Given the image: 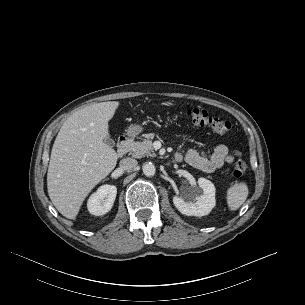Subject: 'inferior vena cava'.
Here are the masks:
<instances>
[{
	"instance_id": "inferior-vena-cava-1",
	"label": "inferior vena cava",
	"mask_w": 305,
	"mask_h": 305,
	"mask_svg": "<svg viewBox=\"0 0 305 305\" xmlns=\"http://www.w3.org/2000/svg\"><path fill=\"white\" fill-rule=\"evenodd\" d=\"M137 164V160L133 158H124L120 161V168L125 171H130L133 170Z\"/></svg>"
}]
</instances>
